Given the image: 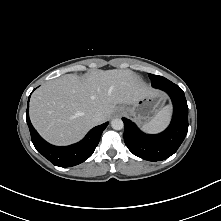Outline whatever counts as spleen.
<instances>
[{
	"label": "spleen",
	"mask_w": 221,
	"mask_h": 221,
	"mask_svg": "<svg viewBox=\"0 0 221 221\" xmlns=\"http://www.w3.org/2000/svg\"><path fill=\"white\" fill-rule=\"evenodd\" d=\"M170 117V106L162 108L149 122L143 125V130L147 132L161 131L168 123Z\"/></svg>",
	"instance_id": "1"
}]
</instances>
